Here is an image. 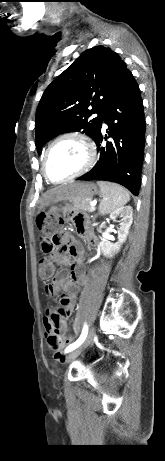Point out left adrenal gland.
Masks as SVG:
<instances>
[{"instance_id":"obj_1","label":"left adrenal gland","mask_w":165,"mask_h":461,"mask_svg":"<svg viewBox=\"0 0 165 461\" xmlns=\"http://www.w3.org/2000/svg\"><path fill=\"white\" fill-rule=\"evenodd\" d=\"M98 216V214H96L94 217H93V220H95V218Z\"/></svg>"}]
</instances>
